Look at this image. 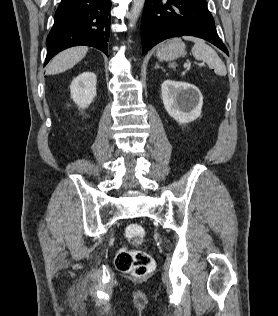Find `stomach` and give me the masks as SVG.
<instances>
[{"instance_id":"1","label":"stomach","mask_w":278,"mask_h":316,"mask_svg":"<svg viewBox=\"0 0 278 316\" xmlns=\"http://www.w3.org/2000/svg\"><path fill=\"white\" fill-rule=\"evenodd\" d=\"M185 53V45L180 40L171 41L161 45L157 50V57L160 60H173Z\"/></svg>"}]
</instances>
